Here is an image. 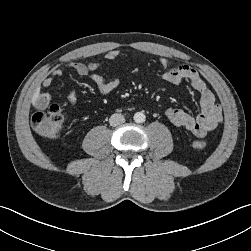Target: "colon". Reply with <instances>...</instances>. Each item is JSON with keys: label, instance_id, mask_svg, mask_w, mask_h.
Returning <instances> with one entry per match:
<instances>
[{"label": "colon", "instance_id": "5ec220e1", "mask_svg": "<svg viewBox=\"0 0 251 251\" xmlns=\"http://www.w3.org/2000/svg\"><path fill=\"white\" fill-rule=\"evenodd\" d=\"M65 115L62 108L57 104H52L48 108L37 110L31 119L33 129L41 136L46 138H56L63 131ZM197 149H204L207 143L202 140L193 142Z\"/></svg>", "mask_w": 251, "mask_h": 251}]
</instances>
